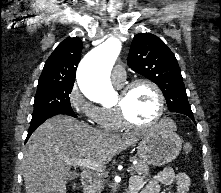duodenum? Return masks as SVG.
Instances as JSON below:
<instances>
[{
  "label": "duodenum",
  "instance_id": "duodenum-1",
  "mask_svg": "<svg viewBox=\"0 0 221 193\" xmlns=\"http://www.w3.org/2000/svg\"><path fill=\"white\" fill-rule=\"evenodd\" d=\"M80 179H81V182H82L84 188L86 190H88L90 188L91 179H92L90 171H88V170L82 171L80 174ZM124 193H136V192H135V190L129 189V190L125 191Z\"/></svg>",
  "mask_w": 221,
  "mask_h": 193
}]
</instances>
